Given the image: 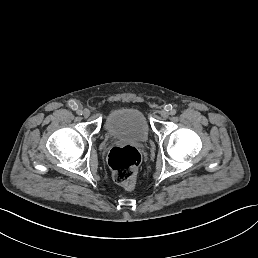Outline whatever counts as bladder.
<instances>
[{
    "label": "bladder",
    "mask_w": 258,
    "mask_h": 258,
    "mask_svg": "<svg viewBox=\"0 0 258 258\" xmlns=\"http://www.w3.org/2000/svg\"><path fill=\"white\" fill-rule=\"evenodd\" d=\"M105 131L113 138L144 142L149 136V124L140 110L122 108L112 111L107 116Z\"/></svg>",
    "instance_id": "1"
}]
</instances>
